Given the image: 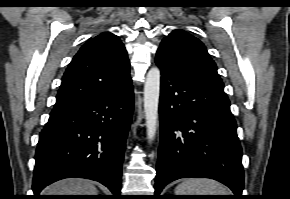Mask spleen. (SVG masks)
Returning <instances> with one entry per match:
<instances>
[{
	"label": "spleen",
	"instance_id": "3e777b00",
	"mask_svg": "<svg viewBox=\"0 0 290 199\" xmlns=\"http://www.w3.org/2000/svg\"><path fill=\"white\" fill-rule=\"evenodd\" d=\"M176 195H229L228 190L215 180L191 178L184 180L175 189Z\"/></svg>",
	"mask_w": 290,
	"mask_h": 199
}]
</instances>
